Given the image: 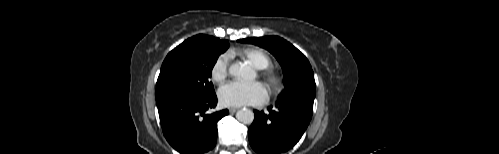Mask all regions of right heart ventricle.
Instances as JSON below:
<instances>
[{"instance_id":"1","label":"right heart ventricle","mask_w":499,"mask_h":154,"mask_svg":"<svg viewBox=\"0 0 499 154\" xmlns=\"http://www.w3.org/2000/svg\"><path fill=\"white\" fill-rule=\"evenodd\" d=\"M242 60L250 62L257 69H266L271 65V58L260 48H246L238 53Z\"/></svg>"}]
</instances>
